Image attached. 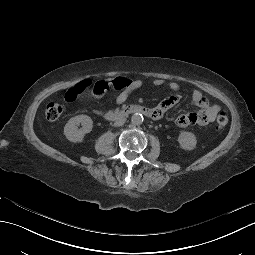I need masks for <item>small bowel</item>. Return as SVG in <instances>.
Listing matches in <instances>:
<instances>
[{"instance_id": "1", "label": "small bowel", "mask_w": 255, "mask_h": 255, "mask_svg": "<svg viewBox=\"0 0 255 255\" xmlns=\"http://www.w3.org/2000/svg\"><path fill=\"white\" fill-rule=\"evenodd\" d=\"M122 80V85L120 87H115L113 84L114 79L102 80L96 82L92 89L91 95L94 98H101L105 94L108 88L112 87L120 92L116 97V104H123L131 92L137 90L144 86L145 82L141 79H128L118 77ZM152 84L155 86H166L174 92V94L165 98L161 101L155 108L157 117L162 116L166 111L173 108L181 100V95L178 93L180 86L177 82L166 81L164 79H153ZM84 92L81 86H74L69 88L65 95L64 99L67 102H73L79 95ZM191 103L199 107L200 110L196 112H190L187 114L180 115L176 119V125L179 127H186L189 125H207L210 122L214 121L216 116L220 111V107L214 103H211L200 91L195 90L190 97Z\"/></svg>"}]
</instances>
